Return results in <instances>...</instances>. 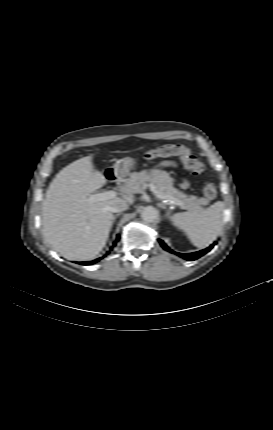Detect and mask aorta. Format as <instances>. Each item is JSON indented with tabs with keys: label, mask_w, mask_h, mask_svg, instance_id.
I'll return each instance as SVG.
<instances>
[{
	"label": "aorta",
	"mask_w": 273,
	"mask_h": 430,
	"mask_svg": "<svg viewBox=\"0 0 273 430\" xmlns=\"http://www.w3.org/2000/svg\"><path fill=\"white\" fill-rule=\"evenodd\" d=\"M158 216V210L152 206L145 207L141 214L142 219L146 222H154Z\"/></svg>",
	"instance_id": "aorta-1"
}]
</instances>
